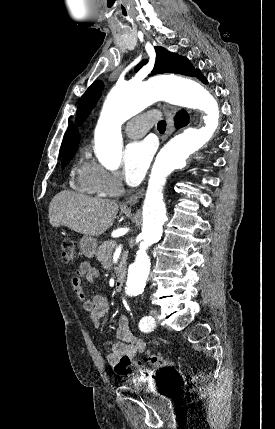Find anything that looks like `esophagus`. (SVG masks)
Listing matches in <instances>:
<instances>
[{"mask_svg": "<svg viewBox=\"0 0 275 429\" xmlns=\"http://www.w3.org/2000/svg\"><path fill=\"white\" fill-rule=\"evenodd\" d=\"M162 109L165 112V115L167 117V129H166L165 135L163 137V141H165L174 131V120L173 119H174V116L177 112V108H175L174 106H171V105L164 104V105H162ZM144 192H145V189L141 188L135 194H133L126 201V203L128 205H134V204L138 203L140 198L144 195Z\"/></svg>", "mask_w": 275, "mask_h": 429, "instance_id": "34e87169", "label": "esophagus"}]
</instances>
